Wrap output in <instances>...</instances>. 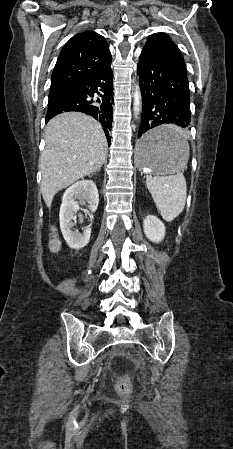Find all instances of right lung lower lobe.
<instances>
[{"instance_id":"98d812e1","label":"right lung lower lobe","mask_w":233,"mask_h":449,"mask_svg":"<svg viewBox=\"0 0 233 449\" xmlns=\"http://www.w3.org/2000/svg\"><path fill=\"white\" fill-rule=\"evenodd\" d=\"M75 96L48 105L46 122L54 116L68 111L83 112L91 115L103 126L110 145L109 132L113 116V72L111 62L88 78L71 87Z\"/></svg>"}]
</instances>
